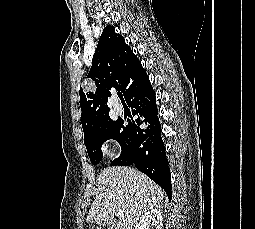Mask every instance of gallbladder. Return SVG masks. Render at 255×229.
Segmentation results:
<instances>
[{
	"instance_id": "obj_1",
	"label": "gallbladder",
	"mask_w": 255,
	"mask_h": 229,
	"mask_svg": "<svg viewBox=\"0 0 255 229\" xmlns=\"http://www.w3.org/2000/svg\"><path fill=\"white\" fill-rule=\"evenodd\" d=\"M108 229H113V228L111 226H109Z\"/></svg>"
}]
</instances>
